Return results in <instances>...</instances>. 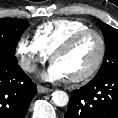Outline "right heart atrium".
<instances>
[{"label": "right heart atrium", "mask_w": 118, "mask_h": 118, "mask_svg": "<svg viewBox=\"0 0 118 118\" xmlns=\"http://www.w3.org/2000/svg\"><path fill=\"white\" fill-rule=\"evenodd\" d=\"M16 56L21 67L28 72H34L39 64L45 63L49 58L36 39L28 36H22L18 40Z\"/></svg>", "instance_id": "1"}]
</instances>
